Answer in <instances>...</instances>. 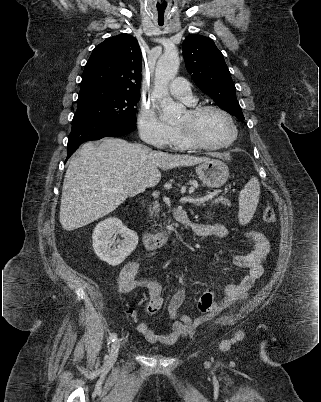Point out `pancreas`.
<instances>
[{"label": "pancreas", "instance_id": "1", "mask_svg": "<svg viewBox=\"0 0 321 402\" xmlns=\"http://www.w3.org/2000/svg\"><path fill=\"white\" fill-rule=\"evenodd\" d=\"M218 203H222L224 205H229L230 201L227 198L219 197L218 199H215L213 201V204H218ZM196 205L200 206L201 203H196ZM203 206H205V204H203ZM149 212H150L151 216H153V214L155 216H157V214L160 212V205L157 201H155L153 203V207L149 208Z\"/></svg>", "mask_w": 321, "mask_h": 402}]
</instances>
